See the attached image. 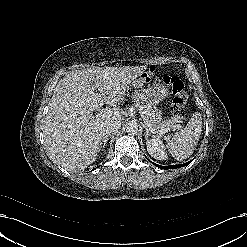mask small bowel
<instances>
[{"instance_id":"small-bowel-1","label":"small bowel","mask_w":247,"mask_h":247,"mask_svg":"<svg viewBox=\"0 0 247 247\" xmlns=\"http://www.w3.org/2000/svg\"><path fill=\"white\" fill-rule=\"evenodd\" d=\"M152 70H149V72L146 74V79L148 78V79H150L151 78V76H152Z\"/></svg>"}]
</instances>
